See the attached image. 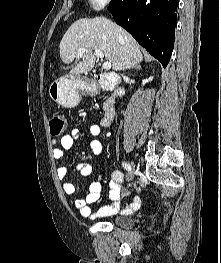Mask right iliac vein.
Returning a JSON list of instances; mask_svg holds the SVG:
<instances>
[{
	"instance_id": "obj_1",
	"label": "right iliac vein",
	"mask_w": 221,
	"mask_h": 263,
	"mask_svg": "<svg viewBox=\"0 0 221 263\" xmlns=\"http://www.w3.org/2000/svg\"><path fill=\"white\" fill-rule=\"evenodd\" d=\"M133 172H134V165L133 163L131 162V170H130V174L128 176V181L132 180L133 178Z\"/></svg>"
}]
</instances>
